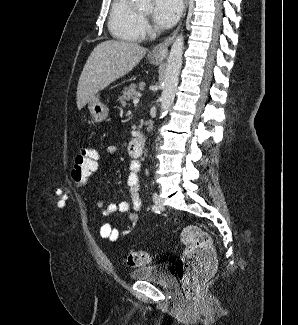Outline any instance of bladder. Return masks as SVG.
Instances as JSON below:
<instances>
[{"instance_id": "31cf9c89", "label": "bladder", "mask_w": 298, "mask_h": 325, "mask_svg": "<svg viewBox=\"0 0 298 325\" xmlns=\"http://www.w3.org/2000/svg\"><path fill=\"white\" fill-rule=\"evenodd\" d=\"M133 280L157 284L166 289L174 286L172 275L160 265H146L133 270L130 274Z\"/></svg>"}]
</instances>
